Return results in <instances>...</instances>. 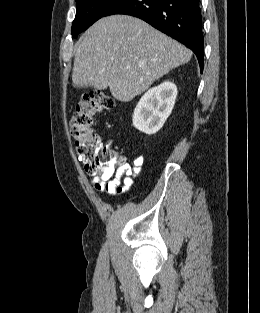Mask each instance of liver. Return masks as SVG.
Wrapping results in <instances>:
<instances>
[{
    "label": "liver",
    "mask_w": 260,
    "mask_h": 313,
    "mask_svg": "<svg viewBox=\"0 0 260 313\" xmlns=\"http://www.w3.org/2000/svg\"><path fill=\"white\" fill-rule=\"evenodd\" d=\"M191 57V50L143 20L112 15L98 20L79 39L72 81L109 87L115 99L128 102Z\"/></svg>",
    "instance_id": "obj_1"
}]
</instances>
